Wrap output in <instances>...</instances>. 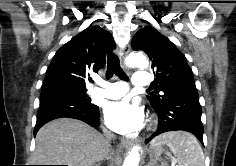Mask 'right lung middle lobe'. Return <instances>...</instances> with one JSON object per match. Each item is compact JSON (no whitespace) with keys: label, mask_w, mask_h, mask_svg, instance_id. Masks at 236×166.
Segmentation results:
<instances>
[{"label":"right lung middle lobe","mask_w":236,"mask_h":166,"mask_svg":"<svg viewBox=\"0 0 236 166\" xmlns=\"http://www.w3.org/2000/svg\"><path fill=\"white\" fill-rule=\"evenodd\" d=\"M86 88H75L60 85L54 89H42L40 107H51L54 104L96 107L90 102Z\"/></svg>","instance_id":"dd1d6c3e"}]
</instances>
